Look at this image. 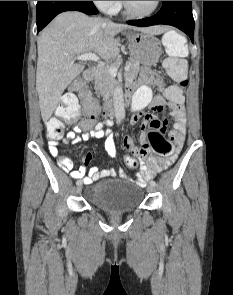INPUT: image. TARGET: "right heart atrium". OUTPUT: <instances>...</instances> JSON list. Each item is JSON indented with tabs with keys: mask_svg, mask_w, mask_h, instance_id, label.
Masks as SVG:
<instances>
[{
	"mask_svg": "<svg viewBox=\"0 0 233 295\" xmlns=\"http://www.w3.org/2000/svg\"><path fill=\"white\" fill-rule=\"evenodd\" d=\"M93 3L102 11L106 13H113L119 1H93Z\"/></svg>",
	"mask_w": 233,
	"mask_h": 295,
	"instance_id": "obj_1",
	"label": "right heart atrium"
}]
</instances>
